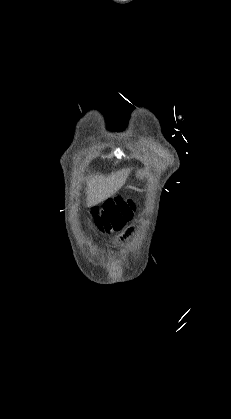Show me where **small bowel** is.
<instances>
[{"instance_id":"1","label":"small bowel","mask_w":231,"mask_h":419,"mask_svg":"<svg viewBox=\"0 0 231 419\" xmlns=\"http://www.w3.org/2000/svg\"><path fill=\"white\" fill-rule=\"evenodd\" d=\"M131 232H132V230H131V229H130V230H128V231L126 232V234H125L123 237H121V238L119 239V241H123L124 239H126V238H127V236L131 234Z\"/></svg>"}]
</instances>
